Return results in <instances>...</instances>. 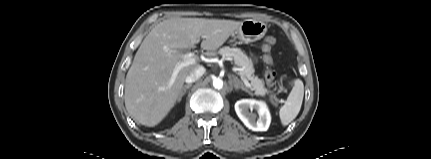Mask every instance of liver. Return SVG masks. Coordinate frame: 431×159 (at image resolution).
Listing matches in <instances>:
<instances>
[{"label":"liver","instance_id":"6515ba94","mask_svg":"<svg viewBox=\"0 0 431 159\" xmlns=\"http://www.w3.org/2000/svg\"><path fill=\"white\" fill-rule=\"evenodd\" d=\"M240 21L204 18H171L157 24L144 38L128 70L125 83V107L138 123L153 127L174 107L187 75L200 65L181 68L167 89L175 67L183 61V50L201 48L213 57L233 34Z\"/></svg>","mask_w":431,"mask_h":159}]
</instances>
